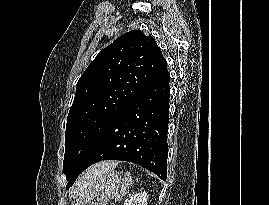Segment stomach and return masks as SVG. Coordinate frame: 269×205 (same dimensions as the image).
<instances>
[{
	"mask_svg": "<svg viewBox=\"0 0 269 205\" xmlns=\"http://www.w3.org/2000/svg\"><path fill=\"white\" fill-rule=\"evenodd\" d=\"M120 185V174L110 170L97 178L83 196H77L75 205H108L110 201L118 200L124 195Z\"/></svg>",
	"mask_w": 269,
	"mask_h": 205,
	"instance_id": "stomach-1",
	"label": "stomach"
}]
</instances>
